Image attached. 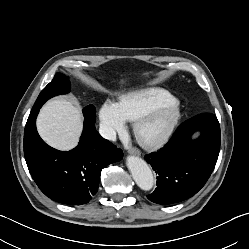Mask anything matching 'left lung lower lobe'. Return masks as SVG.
<instances>
[{"instance_id":"left-lung-lower-lobe-1","label":"left lung lower lobe","mask_w":249,"mask_h":249,"mask_svg":"<svg viewBox=\"0 0 249 249\" xmlns=\"http://www.w3.org/2000/svg\"><path fill=\"white\" fill-rule=\"evenodd\" d=\"M198 130L201 136L191 140ZM219 151L220 126L213 114H199L182 123L164 148L145 156L159 174L157 188L148 199L166 205L195 195L214 170Z\"/></svg>"}]
</instances>
